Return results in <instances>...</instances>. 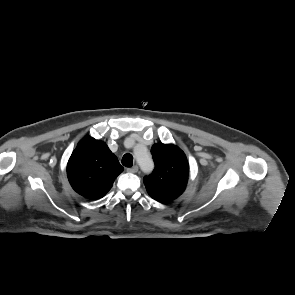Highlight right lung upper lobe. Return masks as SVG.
<instances>
[{
	"mask_svg": "<svg viewBox=\"0 0 295 295\" xmlns=\"http://www.w3.org/2000/svg\"><path fill=\"white\" fill-rule=\"evenodd\" d=\"M122 171L107 144L89 136L79 142L67 164L72 188L89 200L104 197Z\"/></svg>",
	"mask_w": 295,
	"mask_h": 295,
	"instance_id": "1",
	"label": "right lung upper lobe"
}]
</instances>
